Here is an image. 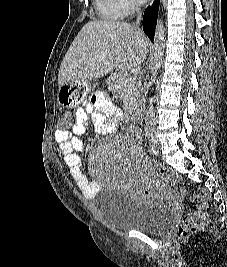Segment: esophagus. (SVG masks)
<instances>
[{"instance_id": "34e87169", "label": "esophagus", "mask_w": 227, "mask_h": 267, "mask_svg": "<svg viewBox=\"0 0 227 267\" xmlns=\"http://www.w3.org/2000/svg\"><path fill=\"white\" fill-rule=\"evenodd\" d=\"M153 3V0H150V4H152Z\"/></svg>"}]
</instances>
